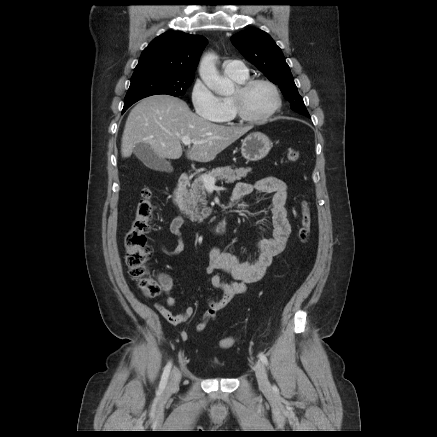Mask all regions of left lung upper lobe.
<instances>
[{
  "label": "left lung upper lobe",
  "mask_w": 437,
  "mask_h": 437,
  "mask_svg": "<svg viewBox=\"0 0 437 437\" xmlns=\"http://www.w3.org/2000/svg\"><path fill=\"white\" fill-rule=\"evenodd\" d=\"M240 53L277 84L294 111L310 118L281 49L264 31L248 28L231 37Z\"/></svg>",
  "instance_id": "obj_1"
}]
</instances>
